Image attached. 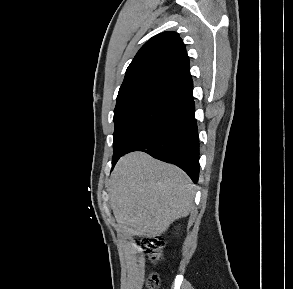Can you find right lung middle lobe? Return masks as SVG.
<instances>
[{
  "mask_svg": "<svg viewBox=\"0 0 293 289\" xmlns=\"http://www.w3.org/2000/svg\"><path fill=\"white\" fill-rule=\"evenodd\" d=\"M177 106L157 97H134L116 104L114 110V154Z\"/></svg>",
  "mask_w": 293,
  "mask_h": 289,
  "instance_id": "1",
  "label": "right lung middle lobe"
}]
</instances>
